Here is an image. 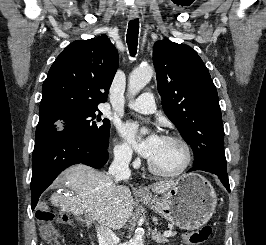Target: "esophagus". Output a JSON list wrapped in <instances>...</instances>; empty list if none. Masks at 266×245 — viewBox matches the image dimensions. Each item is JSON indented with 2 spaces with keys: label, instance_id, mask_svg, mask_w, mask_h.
I'll return each mask as SVG.
<instances>
[{
  "label": "esophagus",
  "instance_id": "esophagus-1",
  "mask_svg": "<svg viewBox=\"0 0 266 245\" xmlns=\"http://www.w3.org/2000/svg\"><path fill=\"white\" fill-rule=\"evenodd\" d=\"M138 17V12H130V18H137ZM137 193L139 195H146L147 191L144 189V187L139 186L137 187Z\"/></svg>",
  "mask_w": 266,
  "mask_h": 245
}]
</instances>
